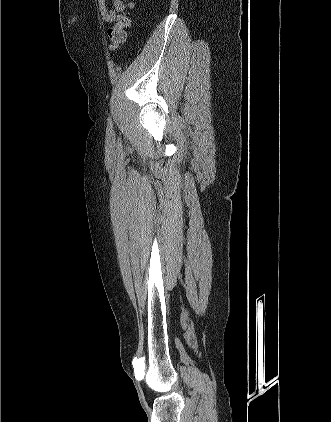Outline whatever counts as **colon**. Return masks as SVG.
Listing matches in <instances>:
<instances>
[{
  "mask_svg": "<svg viewBox=\"0 0 331 422\" xmlns=\"http://www.w3.org/2000/svg\"><path fill=\"white\" fill-rule=\"evenodd\" d=\"M125 1L126 10L116 17L114 26L107 30V38L112 50H119L126 41V29L130 25L129 15L133 4L128 0Z\"/></svg>",
  "mask_w": 331,
  "mask_h": 422,
  "instance_id": "obj_1",
  "label": "colon"
}]
</instances>
